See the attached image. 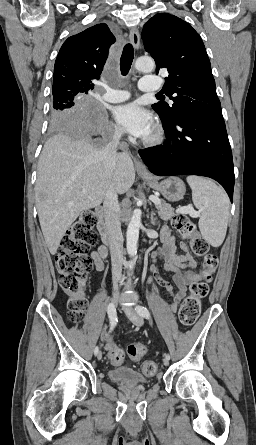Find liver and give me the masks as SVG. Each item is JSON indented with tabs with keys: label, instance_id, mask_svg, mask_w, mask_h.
Instances as JSON below:
<instances>
[{
	"label": "liver",
	"instance_id": "liver-1",
	"mask_svg": "<svg viewBox=\"0 0 256 445\" xmlns=\"http://www.w3.org/2000/svg\"><path fill=\"white\" fill-rule=\"evenodd\" d=\"M102 151L88 138L71 139L64 134L52 136L43 147L35 195L41 230L52 255L78 216L103 202L109 185L124 194L134 183L130 156L118 154L115 169L108 171Z\"/></svg>",
	"mask_w": 256,
	"mask_h": 445
}]
</instances>
